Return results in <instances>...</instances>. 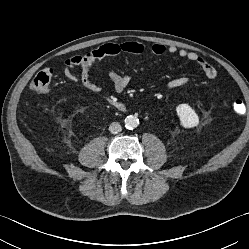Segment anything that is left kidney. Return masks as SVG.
<instances>
[{
  "label": "left kidney",
  "mask_w": 249,
  "mask_h": 249,
  "mask_svg": "<svg viewBox=\"0 0 249 249\" xmlns=\"http://www.w3.org/2000/svg\"><path fill=\"white\" fill-rule=\"evenodd\" d=\"M176 113L184 128H193L199 124V117L188 104H179Z\"/></svg>",
  "instance_id": "5707ae66"
}]
</instances>
